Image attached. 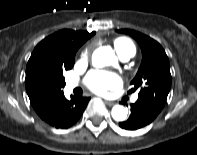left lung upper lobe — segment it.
I'll return each mask as SVG.
<instances>
[{
    "instance_id": "left-lung-upper-lobe-1",
    "label": "left lung upper lobe",
    "mask_w": 197,
    "mask_h": 155,
    "mask_svg": "<svg viewBox=\"0 0 197 155\" xmlns=\"http://www.w3.org/2000/svg\"><path fill=\"white\" fill-rule=\"evenodd\" d=\"M118 32L133 37L142 50L140 68L131 82L134 87L128 93L138 90V99L162 109L171 87L170 64L164 49L157 41L137 31L121 29Z\"/></svg>"
}]
</instances>
